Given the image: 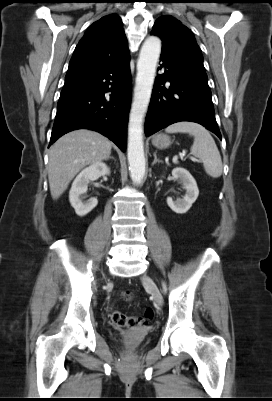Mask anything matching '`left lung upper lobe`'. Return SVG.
<instances>
[{
    "mask_svg": "<svg viewBox=\"0 0 272 401\" xmlns=\"http://www.w3.org/2000/svg\"><path fill=\"white\" fill-rule=\"evenodd\" d=\"M151 34L162 39V52L202 70L203 56L190 29L176 18L165 15L158 18Z\"/></svg>",
    "mask_w": 272,
    "mask_h": 401,
    "instance_id": "1",
    "label": "left lung upper lobe"
}]
</instances>
